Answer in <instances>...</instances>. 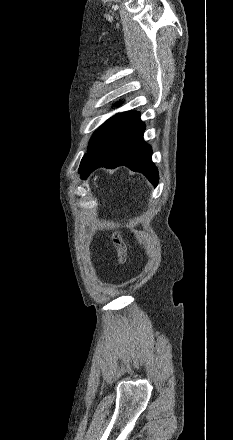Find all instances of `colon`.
<instances>
[{
  "label": "colon",
  "instance_id": "colon-1",
  "mask_svg": "<svg viewBox=\"0 0 233 440\" xmlns=\"http://www.w3.org/2000/svg\"><path fill=\"white\" fill-rule=\"evenodd\" d=\"M113 244L116 248L118 255V265L123 267L127 260V248L123 241L122 231L117 230L113 235Z\"/></svg>",
  "mask_w": 233,
  "mask_h": 440
}]
</instances>
